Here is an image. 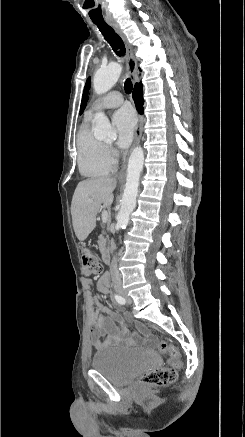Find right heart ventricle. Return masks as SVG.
Here are the masks:
<instances>
[{
  "label": "right heart ventricle",
  "mask_w": 245,
  "mask_h": 437,
  "mask_svg": "<svg viewBox=\"0 0 245 437\" xmlns=\"http://www.w3.org/2000/svg\"><path fill=\"white\" fill-rule=\"evenodd\" d=\"M77 164L80 173L88 178H101L115 168L107 154V146L92 133L91 118L85 117L77 133Z\"/></svg>",
  "instance_id": "right-heart-ventricle-1"
}]
</instances>
